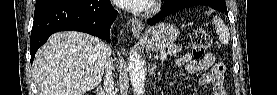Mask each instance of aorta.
<instances>
[{"mask_svg":"<svg viewBox=\"0 0 277 95\" xmlns=\"http://www.w3.org/2000/svg\"><path fill=\"white\" fill-rule=\"evenodd\" d=\"M128 70L134 94L143 95L145 91L144 61L141 55L135 50L129 55Z\"/></svg>","mask_w":277,"mask_h":95,"instance_id":"aorta-1","label":"aorta"}]
</instances>
